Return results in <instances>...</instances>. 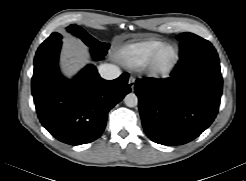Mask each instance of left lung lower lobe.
I'll list each match as a JSON object with an SVG mask.
<instances>
[{"instance_id": "obj_1", "label": "left lung lower lobe", "mask_w": 246, "mask_h": 181, "mask_svg": "<svg viewBox=\"0 0 246 181\" xmlns=\"http://www.w3.org/2000/svg\"><path fill=\"white\" fill-rule=\"evenodd\" d=\"M222 84L212 45L181 55L167 79L137 80L135 92L147 136L168 146L195 139L217 115Z\"/></svg>"}]
</instances>
